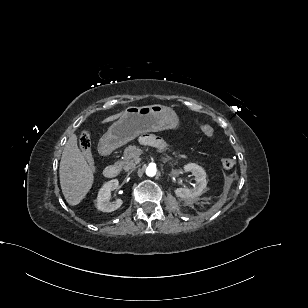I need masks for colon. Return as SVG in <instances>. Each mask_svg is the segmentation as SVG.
I'll return each instance as SVG.
<instances>
[{"mask_svg":"<svg viewBox=\"0 0 308 308\" xmlns=\"http://www.w3.org/2000/svg\"><path fill=\"white\" fill-rule=\"evenodd\" d=\"M201 131L208 137H212L215 134L214 129L208 124H202ZM79 146L88 164L90 166H93L94 162L91 154V139L89 131L87 130L82 131L79 137ZM221 165L224 169L228 170L235 165V161L230 157H225L221 160Z\"/></svg>","mask_w":308,"mask_h":308,"instance_id":"5ec220e1","label":"colon"}]
</instances>
